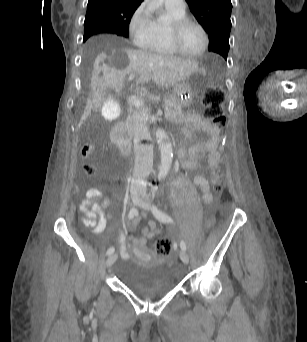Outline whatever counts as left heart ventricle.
<instances>
[{"label": "left heart ventricle", "mask_w": 307, "mask_h": 342, "mask_svg": "<svg viewBox=\"0 0 307 342\" xmlns=\"http://www.w3.org/2000/svg\"><path fill=\"white\" fill-rule=\"evenodd\" d=\"M182 45L186 52L196 55L204 47V34L200 26L196 23H190L182 33Z\"/></svg>", "instance_id": "obj_1"}]
</instances>
